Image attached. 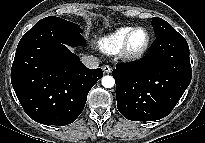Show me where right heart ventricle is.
I'll return each instance as SVG.
<instances>
[{
	"instance_id": "right-heart-ventricle-1",
	"label": "right heart ventricle",
	"mask_w": 205,
	"mask_h": 143,
	"mask_svg": "<svg viewBox=\"0 0 205 143\" xmlns=\"http://www.w3.org/2000/svg\"><path fill=\"white\" fill-rule=\"evenodd\" d=\"M134 27L125 26L117 29L113 33L100 38L97 41L99 49L106 54H116L120 51L127 34Z\"/></svg>"
}]
</instances>
